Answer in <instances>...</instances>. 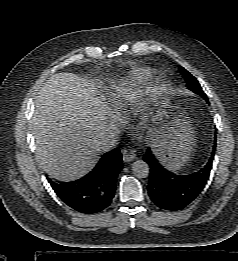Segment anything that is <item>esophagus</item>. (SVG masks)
Here are the masks:
<instances>
[{"label": "esophagus", "mask_w": 238, "mask_h": 261, "mask_svg": "<svg viewBox=\"0 0 238 261\" xmlns=\"http://www.w3.org/2000/svg\"><path fill=\"white\" fill-rule=\"evenodd\" d=\"M122 155L124 162H130L136 157L135 151L129 148H123Z\"/></svg>", "instance_id": "1"}]
</instances>
